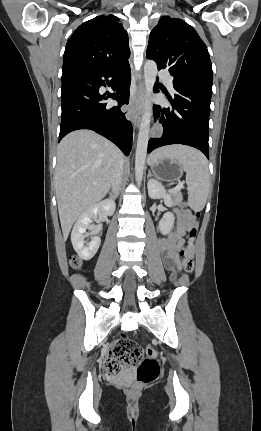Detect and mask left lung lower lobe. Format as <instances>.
I'll list each match as a JSON object with an SVG mask.
<instances>
[{"label": "left lung lower lobe", "mask_w": 261, "mask_h": 431, "mask_svg": "<svg viewBox=\"0 0 261 431\" xmlns=\"http://www.w3.org/2000/svg\"><path fill=\"white\" fill-rule=\"evenodd\" d=\"M175 92L168 93L172 107L154 106L155 115L161 111L159 122L163 133L152 137L147 152L171 144H184L202 151L209 159V114L212 88L187 82H173ZM154 92H159L157 85Z\"/></svg>", "instance_id": "1"}]
</instances>
